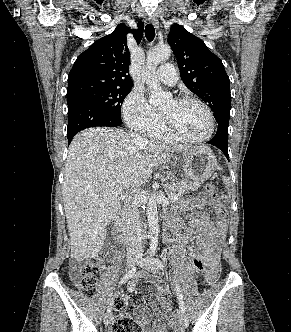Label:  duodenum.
Segmentation results:
<instances>
[{
  "label": "duodenum",
  "instance_id": "duodenum-1",
  "mask_svg": "<svg viewBox=\"0 0 291 332\" xmlns=\"http://www.w3.org/2000/svg\"><path fill=\"white\" fill-rule=\"evenodd\" d=\"M124 216L125 213H121L113 226V235L115 240L120 244H125L127 240L126 230L124 226Z\"/></svg>",
  "mask_w": 291,
  "mask_h": 332
}]
</instances>
